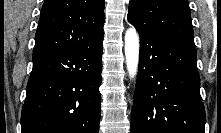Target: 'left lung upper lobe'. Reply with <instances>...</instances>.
<instances>
[{
  "label": "left lung upper lobe",
  "mask_w": 221,
  "mask_h": 133,
  "mask_svg": "<svg viewBox=\"0 0 221 133\" xmlns=\"http://www.w3.org/2000/svg\"><path fill=\"white\" fill-rule=\"evenodd\" d=\"M127 18L139 33L166 36L194 44L187 0H130Z\"/></svg>",
  "instance_id": "5c2ea615"
}]
</instances>
